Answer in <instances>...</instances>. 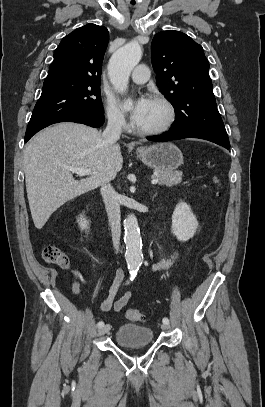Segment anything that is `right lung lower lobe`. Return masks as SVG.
Here are the masks:
<instances>
[{
  "label": "right lung lower lobe",
  "instance_id": "98d812e1",
  "mask_svg": "<svg viewBox=\"0 0 265 407\" xmlns=\"http://www.w3.org/2000/svg\"><path fill=\"white\" fill-rule=\"evenodd\" d=\"M66 121L82 123V124H86V125L94 127V128H99L104 123V115H103V113L85 111V112H77V113L61 116L55 120H52L50 122H47V123L35 128V129L26 131L25 142H27L35 133H37L41 129H43L51 124H54V123L66 122Z\"/></svg>",
  "mask_w": 265,
  "mask_h": 407
}]
</instances>
